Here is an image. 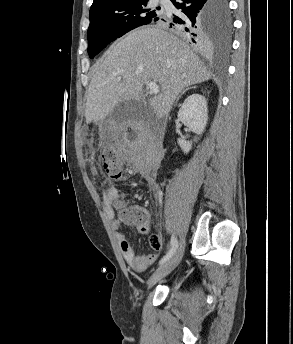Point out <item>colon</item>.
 <instances>
[{"label": "colon", "mask_w": 293, "mask_h": 344, "mask_svg": "<svg viewBox=\"0 0 293 344\" xmlns=\"http://www.w3.org/2000/svg\"><path fill=\"white\" fill-rule=\"evenodd\" d=\"M100 157L103 170L110 177L114 179L125 178L126 170L123 163L110 145H106L102 149ZM113 205L118 209L119 218L122 222L134 225L142 232L149 230L147 215L142 208L127 206L121 198H115Z\"/></svg>", "instance_id": "colon-1"}]
</instances>
